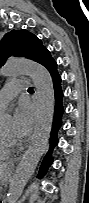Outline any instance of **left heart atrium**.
I'll return each mask as SVG.
<instances>
[{"instance_id":"39dd6f15","label":"left heart atrium","mask_w":89,"mask_h":203,"mask_svg":"<svg viewBox=\"0 0 89 203\" xmlns=\"http://www.w3.org/2000/svg\"><path fill=\"white\" fill-rule=\"evenodd\" d=\"M15 133L21 140L29 136L34 125V111L31 105L21 101L15 111Z\"/></svg>"}]
</instances>
